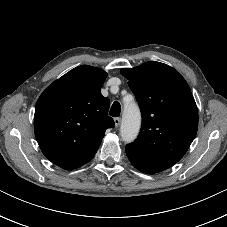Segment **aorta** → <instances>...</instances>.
<instances>
[{"mask_svg": "<svg viewBox=\"0 0 227 227\" xmlns=\"http://www.w3.org/2000/svg\"><path fill=\"white\" fill-rule=\"evenodd\" d=\"M141 126V114L135 103L126 104L122 115L120 135L124 142L129 143L136 139Z\"/></svg>", "mask_w": 227, "mask_h": 227, "instance_id": "762f6f07", "label": "aorta"}]
</instances>
